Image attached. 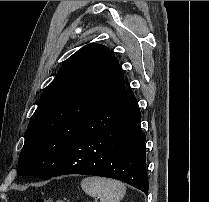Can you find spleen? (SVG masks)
Masks as SVG:
<instances>
[{
  "label": "spleen",
  "instance_id": "obj_1",
  "mask_svg": "<svg viewBox=\"0 0 209 202\" xmlns=\"http://www.w3.org/2000/svg\"><path fill=\"white\" fill-rule=\"evenodd\" d=\"M81 187L87 195L99 197L101 202H120L126 193L122 182L103 177H86Z\"/></svg>",
  "mask_w": 209,
  "mask_h": 202
}]
</instances>
